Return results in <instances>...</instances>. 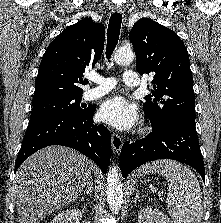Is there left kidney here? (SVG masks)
<instances>
[{
	"label": "left kidney",
	"mask_w": 221,
	"mask_h": 223,
	"mask_svg": "<svg viewBox=\"0 0 221 223\" xmlns=\"http://www.w3.org/2000/svg\"><path fill=\"white\" fill-rule=\"evenodd\" d=\"M138 223H171L160 210L150 207L142 208L138 213Z\"/></svg>",
	"instance_id": "5707ae66"
}]
</instances>
